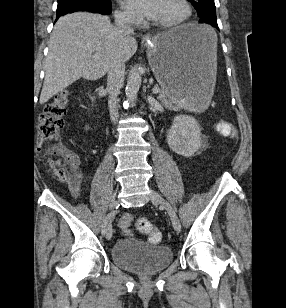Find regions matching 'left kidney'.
<instances>
[{
    "label": "left kidney",
    "mask_w": 286,
    "mask_h": 308,
    "mask_svg": "<svg viewBox=\"0 0 286 308\" xmlns=\"http://www.w3.org/2000/svg\"><path fill=\"white\" fill-rule=\"evenodd\" d=\"M201 129L195 118L177 115L167 133L169 147L178 155L193 156L201 146Z\"/></svg>",
    "instance_id": "5707ae66"
}]
</instances>
